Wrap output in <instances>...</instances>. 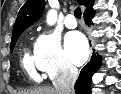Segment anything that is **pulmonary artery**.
Masks as SVG:
<instances>
[{
	"label": "pulmonary artery",
	"instance_id": "pulmonary-artery-1",
	"mask_svg": "<svg viewBox=\"0 0 121 94\" xmlns=\"http://www.w3.org/2000/svg\"><path fill=\"white\" fill-rule=\"evenodd\" d=\"M65 26L69 29H74L77 27V21L73 14H68L64 20Z\"/></svg>",
	"mask_w": 121,
	"mask_h": 94
}]
</instances>
